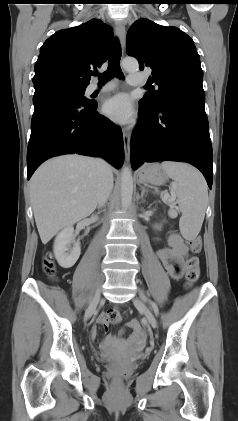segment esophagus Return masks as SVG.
<instances>
[{"label": "esophagus", "mask_w": 238, "mask_h": 421, "mask_svg": "<svg viewBox=\"0 0 238 421\" xmlns=\"http://www.w3.org/2000/svg\"><path fill=\"white\" fill-rule=\"evenodd\" d=\"M115 33L119 39L122 49L125 47L126 41V31L125 26L122 22L117 21L115 23ZM123 143H124V151L126 159L129 160L130 158V133L127 130H123Z\"/></svg>", "instance_id": "1"}]
</instances>
